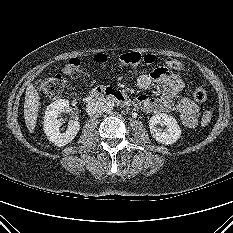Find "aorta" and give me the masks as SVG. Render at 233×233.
I'll use <instances>...</instances> for the list:
<instances>
[{
    "label": "aorta",
    "instance_id": "obj_1",
    "mask_svg": "<svg viewBox=\"0 0 233 233\" xmlns=\"http://www.w3.org/2000/svg\"><path fill=\"white\" fill-rule=\"evenodd\" d=\"M115 104L112 101H107L104 103V111L111 112L114 108Z\"/></svg>",
    "mask_w": 233,
    "mask_h": 233
}]
</instances>
